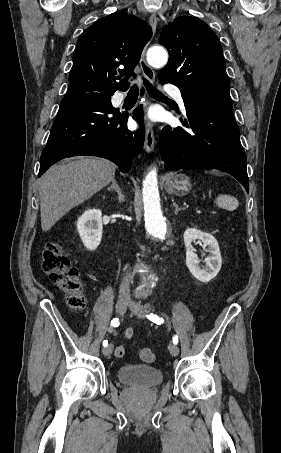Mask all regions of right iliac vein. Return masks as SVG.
I'll use <instances>...</instances> for the list:
<instances>
[{
	"instance_id": "right-iliac-vein-1",
	"label": "right iliac vein",
	"mask_w": 281,
	"mask_h": 453,
	"mask_svg": "<svg viewBox=\"0 0 281 453\" xmlns=\"http://www.w3.org/2000/svg\"><path fill=\"white\" fill-rule=\"evenodd\" d=\"M128 304L129 301H117L115 304V310H118L119 312H125ZM114 348V345H109V347L103 349L102 353H104L105 355H110V353H112V349Z\"/></svg>"
}]
</instances>
